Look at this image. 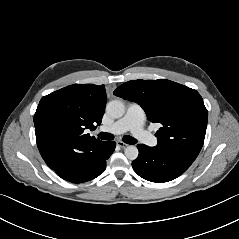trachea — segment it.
I'll use <instances>...</instances> for the list:
<instances>
[{"mask_svg":"<svg viewBox=\"0 0 239 239\" xmlns=\"http://www.w3.org/2000/svg\"><path fill=\"white\" fill-rule=\"evenodd\" d=\"M98 137L102 140H113L114 136L110 133L101 132L98 134ZM123 141L127 144H135L137 140L131 136H124Z\"/></svg>","mask_w":239,"mask_h":239,"instance_id":"3493384b","label":"trachea"}]
</instances>
